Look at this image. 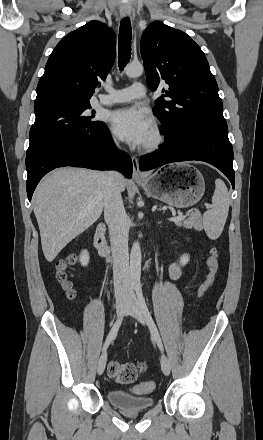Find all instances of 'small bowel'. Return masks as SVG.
I'll return each mask as SVG.
<instances>
[{
    "label": "small bowel",
    "instance_id": "obj_1",
    "mask_svg": "<svg viewBox=\"0 0 263 440\" xmlns=\"http://www.w3.org/2000/svg\"><path fill=\"white\" fill-rule=\"evenodd\" d=\"M169 273L172 279L177 280L182 275V269L177 262H174L169 265Z\"/></svg>",
    "mask_w": 263,
    "mask_h": 440
}]
</instances>
